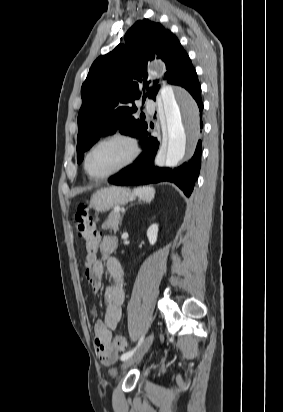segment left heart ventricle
<instances>
[{"label": "left heart ventricle", "mask_w": 283, "mask_h": 412, "mask_svg": "<svg viewBox=\"0 0 283 412\" xmlns=\"http://www.w3.org/2000/svg\"><path fill=\"white\" fill-rule=\"evenodd\" d=\"M130 152L129 144L122 140L102 143L90 154L88 168L95 175L105 174L124 163Z\"/></svg>", "instance_id": "1"}]
</instances>
